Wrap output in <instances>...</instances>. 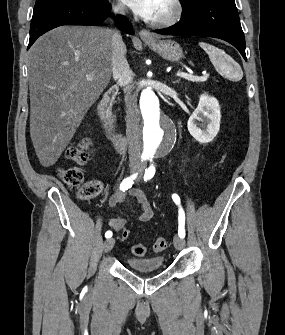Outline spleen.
I'll use <instances>...</instances> for the list:
<instances>
[{
	"mask_svg": "<svg viewBox=\"0 0 285 335\" xmlns=\"http://www.w3.org/2000/svg\"><path fill=\"white\" fill-rule=\"evenodd\" d=\"M199 46L200 48H203L206 54H208L216 70H221V68H227V64L225 62V54L223 50H218V48H214V46H210V44H204V42H200Z\"/></svg>",
	"mask_w": 285,
	"mask_h": 335,
	"instance_id": "obj_1",
	"label": "spleen"
}]
</instances>
